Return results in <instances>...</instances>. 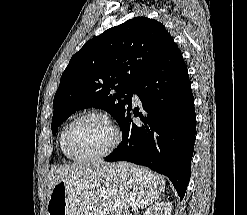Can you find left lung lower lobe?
I'll use <instances>...</instances> for the list:
<instances>
[{"label":"left lung lower lobe","instance_id":"left-lung-lower-lobe-1","mask_svg":"<svg viewBox=\"0 0 247 215\" xmlns=\"http://www.w3.org/2000/svg\"><path fill=\"white\" fill-rule=\"evenodd\" d=\"M134 93L144 113L131 109L120 127L122 142L105 161H129L166 175L182 200L191 176L196 114L186 64L172 39L158 63L141 79Z\"/></svg>","mask_w":247,"mask_h":215}]
</instances>
